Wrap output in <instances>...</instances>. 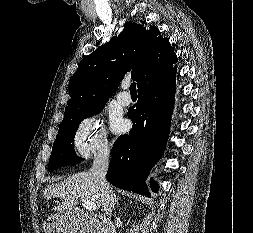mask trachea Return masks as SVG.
<instances>
[{
  "label": "trachea",
  "mask_w": 253,
  "mask_h": 233,
  "mask_svg": "<svg viewBox=\"0 0 253 233\" xmlns=\"http://www.w3.org/2000/svg\"><path fill=\"white\" fill-rule=\"evenodd\" d=\"M129 89H130V93H131V94H137L136 83H135V82L131 83Z\"/></svg>",
  "instance_id": "obj_1"
}]
</instances>
